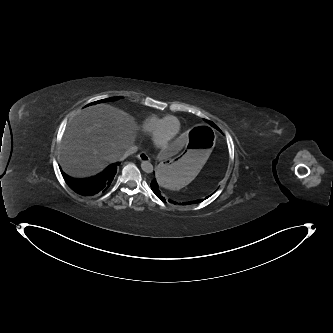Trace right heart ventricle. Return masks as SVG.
Instances as JSON below:
<instances>
[{
    "instance_id": "1",
    "label": "right heart ventricle",
    "mask_w": 333,
    "mask_h": 333,
    "mask_svg": "<svg viewBox=\"0 0 333 333\" xmlns=\"http://www.w3.org/2000/svg\"><path fill=\"white\" fill-rule=\"evenodd\" d=\"M170 115H163V116H158V115H151L145 118L139 125V130L147 135H152L156 132V130L159 128L161 122ZM178 128L180 129V120L177 118L176 119Z\"/></svg>"
}]
</instances>
